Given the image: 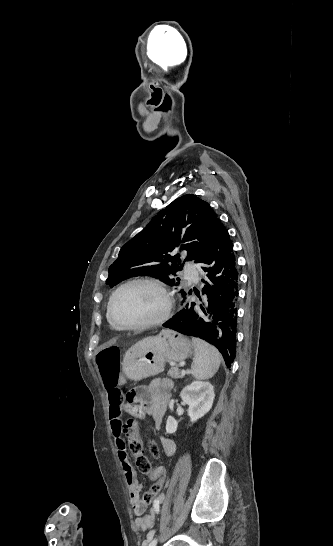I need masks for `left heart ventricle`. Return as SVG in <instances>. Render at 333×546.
I'll list each match as a JSON object with an SVG mask.
<instances>
[{
  "label": "left heart ventricle",
  "instance_id": "obj_1",
  "mask_svg": "<svg viewBox=\"0 0 333 546\" xmlns=\"http://www.w3.org/2000/svg\"><path fill=\"white\" fill-rule=\"evenodd\" d=\"M164 308L162 293L147 284H133L116 297L113 312L123 325H136L157 317Z\"/></svg>",
  "mask_w": 333,
  "mask_h": 546
}]
</instances>
